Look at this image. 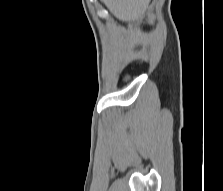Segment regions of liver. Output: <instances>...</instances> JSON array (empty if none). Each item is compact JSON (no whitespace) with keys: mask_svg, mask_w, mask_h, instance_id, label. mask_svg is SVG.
I'll use <instances>...</instances> for the list:
<instances>
[{"mask_svg":"<svg viewBox=\"0 0 223 191\" xmlns=\"http://www.w3.org/2000/svg\"><path fill=\"white\" fill-rule=\"evenodd\" d=\"M102 2L119 20L130 22L144 15L150 0H102Z\"/></svg>","mask_w":223,"mask_h":191,"instance_id":"liver-1","label":"liver"}]
</instances>
